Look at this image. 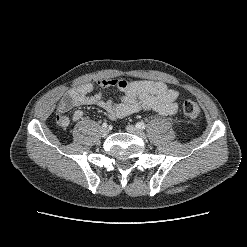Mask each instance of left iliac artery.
Masks as SVG:
<instances>
[{
  "mask_svg": "<svg viewBox=\"0 0 247 247\" xmlns=\"http://www.w3.org/2000/svg\"><path fill=\"white\" fill-rule=\"evenodd\" d=\"M136 127L138 129H145L146 125L144 124V122H138L136 123Z\"/></svg>",
  "mask_w": 247,
  "mask_h": 247,
  "instance_id": "obj_1",
  "label": "left iliac artery"
}]
</instances>
